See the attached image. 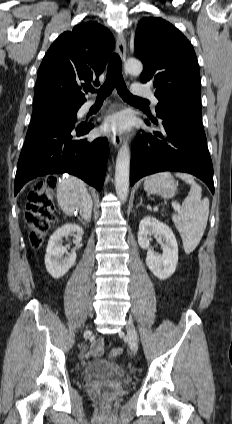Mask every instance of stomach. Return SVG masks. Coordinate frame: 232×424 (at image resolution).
I'll return each mask as SVG.
<instances>
[{"mask_svg":"<svg viewBox=\"0 0 232 424\" xmlns=\"http://www.w3.org/2000/svg\"><path fill=\"white\" fill-rule=\"evenodd\" d=\"M144 189L150 194L169 199L175 195L177 183L169 172H162L148 177L144 182Z\"/></svg>","mask_w":232,"mask_h":424,"instance_id":"0dacf381","label":"stomach"}]
</instances>
